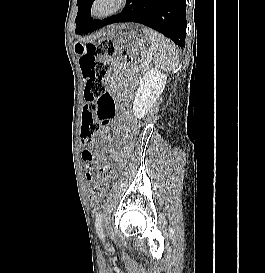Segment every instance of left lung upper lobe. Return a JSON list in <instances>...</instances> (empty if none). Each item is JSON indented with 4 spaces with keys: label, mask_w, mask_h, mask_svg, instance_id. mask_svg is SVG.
I'll use <instances>...</instances> for the list:
<instances>
[{
    "label": "left lung upper lobe",
    "mask_w": 265,
    "mask_h": 273,
    "mask_svg": "<svg viewBox=\"0 0 265 273\" xmlns=\"http://www.w3.org/2000/svg\"><path fill=\"white\" fill-rule=\"evenodd\" d=\"M94 0H77L78 13L76 17V33L81 28L84 20L91 14V6Z\"/></svg>",
    "instance_id": "1"
}]
</instances>
